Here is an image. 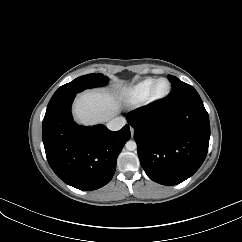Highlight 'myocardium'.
Returning a JSON list of instances; mask_svg holds the SVG:
<instances>
[{"label":"myocardium","instance_id":"myocardium-1","mask_svg":"<svg viewBox=\"0 0 242 242\" xmlns=\"http://www.w3.org/2000/svg\"><path fill=\"white\" fill-rule=\"evenodd\" d=\"M160 81H166L168 83V89L164 94L157 95L156 86ZM171 90H172V85H171V82L167 78H158L154 81V83L151 86V89L147 96V102L149 104H158V103L164 101L170 95Z\"/></svg>","mask_w":242,"mask_h":242}]
</instances>
